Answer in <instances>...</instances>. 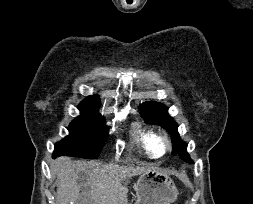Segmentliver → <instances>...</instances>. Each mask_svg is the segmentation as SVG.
<instances>
[{"instance_id": "6515ba94", "label": "liver", "mask_w": 253, "mask_h": 204, "mask_svg": "<svg viewBox=\"0 0 253 204\" xmlns=\"http://www.w3.org/2000/svg\"><path fill=\"white\" fill-rule=\"evenodd\" d=\"M142 164L136 167L114 163L72 161L60 157L51 164L57 178L56 204H124V187L127 178L141 174ZM81 191V192H80Z\"/></svg>"}]
</instances>
